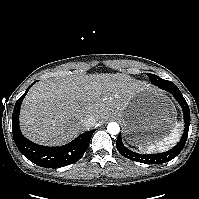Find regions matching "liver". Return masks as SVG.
Instances as JSON below:
<instances>
[{
	"instance_id": "1",
	"label": "liver",
	"mask_w": 199,
	"mask_h": 199,
	"mask_svg": "<svg viewBox=\"0 0 199 199\" xmlns=\"http://www.w3.org/2000/svg\"><path fill=\"white\" fill-rule=\"evenodd\" d=\"M138 92L136 82L120 74L39 82L29 90L23 101L21 129L32 141L61 145L91 128L82 123L86 115L95 117L96 124L102 122L111 112L124 109Z\"/></svg>"
}]
</instances>
